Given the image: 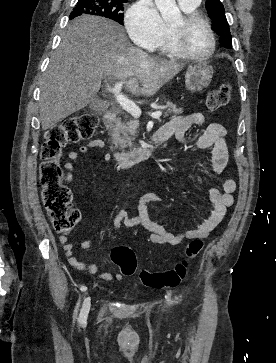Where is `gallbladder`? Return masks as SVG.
<instances>
[{
	"mask_svg": "<svg viewBox=\"0 0 276 363\" xmlns=\"http://www.w3.org/2000/svg\"><path fill=\"white\" fill-rule=\"evenodd\" d=\"M103 105L104 104H103L102 100L95 98L90 102L89 109L92 111H100V110H102Z\"/></svg>",
	"mask_w": 276,
	"mask_h": 363,
	"instance_id": "gallbladder-1",
	"label": "gallbladder"
}]
</instances>
